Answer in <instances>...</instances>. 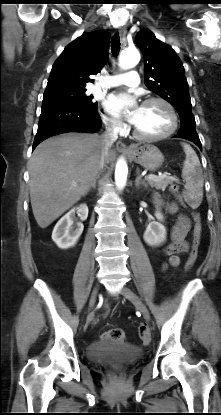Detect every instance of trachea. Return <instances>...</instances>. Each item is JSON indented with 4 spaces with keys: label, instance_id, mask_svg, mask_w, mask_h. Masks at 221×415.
Here are the masks:
<instances>
[{
    "label": "trachea",
    "instance_id": "obj_1",
    "mask_svg": "<svg viewBox=\"0 0 221 415\" xmlns=\"http://www.w3.org/2000/svg\"><path fill=\"white\" fill-rule=\"evenodd\" d=\"M120 50V38L119 34L116 33L111 39V51L114 56L118 55Z\"/></svg>",
    "mask_w": 221,
    "mask_h": 415
}]
</instances>
